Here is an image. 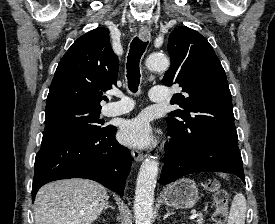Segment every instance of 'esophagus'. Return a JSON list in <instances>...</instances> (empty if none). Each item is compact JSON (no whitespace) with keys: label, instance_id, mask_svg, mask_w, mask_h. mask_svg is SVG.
I'll use <instances>...</instances> for the list:
<instances>
[{"label":"esophagus","instance_id":"esophagus-1","mask_svg":"<svg viewBox=\"0 0 275 224\" xmlns=\"http://www.w3.org/2000/svg\"><path fill=\"white\" fill-rule=\"evenodd\" d=\"M139 37L144 42H149L151 40V34L146 26H142L139 30ZM132 156L136 161H142L145 157L141 150L135 149L132 151Z\"/></svg>","mask_w":275,"mask_h":224}]
</instances>
